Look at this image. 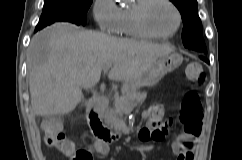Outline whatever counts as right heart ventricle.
<instances>
[{
    "mask_svg": "<svg viewBox=\"0 0 242 160\" xmlns=\"http://www.w3.org/2000/svg\"><path fill=\"white\" fill-rule=\"evenodd\" d=\"M131 8L132 7L119 9V19L116 33L127 38L144 39L146 37L137 31L132 22Z\"/></svg>",
    "mask_w": 242,
    "mask_h": 160,
    "instance_id": "1",
    "label": "right heart ventricle"
}]
</instances>
